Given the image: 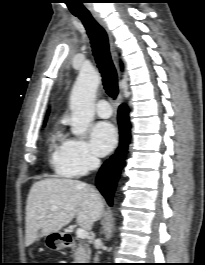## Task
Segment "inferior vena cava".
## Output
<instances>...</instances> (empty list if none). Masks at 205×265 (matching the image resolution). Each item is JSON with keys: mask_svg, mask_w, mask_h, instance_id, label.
<instances>
[{"mask_svg": "<svg viewBox=\"0 0 205 265\" xmlns=\"http://www.w3.org/2000/svg\"><path fill=\"white\" fill-rule=\"evenodd\" d=\"M99 165H100V160L98 158H96V157H91V159H90V168L96 169V168H98ZM95 260L96 261L98 260L97 256L95 257Z\"/></svg>", "mask_w": 205, "mask_h": 265, "instance_id": "inferior-vena-cava-1", "label": "inferior vena cava"}]
</instances>
